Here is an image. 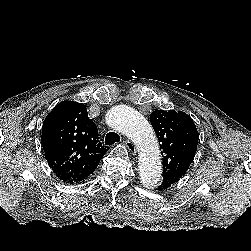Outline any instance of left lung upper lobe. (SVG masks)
<instances>
[{"label":"left lung upper lobe","instance_id":"1","mask_svg":"<svg viewBox=\"0 0 251 251\" xmlns=\"http://www.w3.org/2000/svg\"><path fill=\"white\" fill-rule=\"evenodd\" d=\"M150 122L157 135L163 157V182L167 187L178 182L192 163L198 131L193 120L184 112L155 110Z\"/></svg>","mask_w":251,"mask_h":251}]
</instances>
